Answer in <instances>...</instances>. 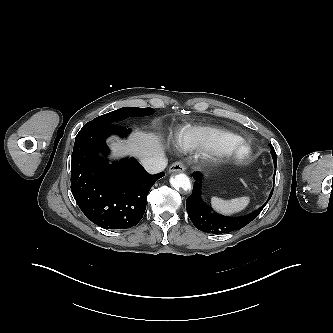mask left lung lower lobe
Segmentation results:
<instances>
[{
	"mask_svg": "<svg viewBox=\"0 0 333 333\" xmlns=\"http://www.w3.org/2000/svg\"><path fill=\"white\" fill-rule=\"evenodd\" d=\"M276 172V167H275ZM194 182L193 192L186 200V209L189 218L196 228L204 232H211L214 234L228 233L234 230H238L251 221H253L259 213L263 210L265 205L270 200L274 187L269 195L267 202H265L258 210L252 212L249 215L239 218H227L211 212L209 207L201 200V183L202 175L198 172L193 174ZM275 179V174H274Z\"/></svg>",
	"mask_w": 333,
	"mask_h": 333,
	"instance_id": "1",
	"label": "left lung lower lobe"
}]
</instances>
